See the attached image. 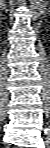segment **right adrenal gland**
I'll return each instance as SVG.
<instances>
[{
    "mask_svg": "<svg viewBox=\"0 0 50 148\" xmlns=\"http://www.w3.org/2000/svg\"><path fill=\"white\" fill-rule=\"evenodd\" d=\"M1 8H2L1 11L5 10V12H8L6 4L1 5Z\"/></svg>",
    "mask_w": 50,
    "mask_h": 148,
    "instance_id": "right-adrenal-gland-1",
    "label": "right adrenal gland"
}]
</instances>
